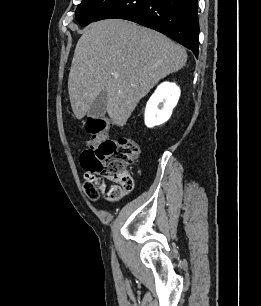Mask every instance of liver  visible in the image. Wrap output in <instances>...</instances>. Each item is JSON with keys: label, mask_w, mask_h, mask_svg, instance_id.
<instances>
[{"label": "liver", "mask_w": 261, "mask_h": 306, "mask_svg": "<svg viewBox=\"0 0 261 306\" xmlns=\"http://www.w3.org/2000/svg\"><path fill=\"white\" fill-rule=\"evenodd\" d=\"M186 61V50L157 31L122 19L92 23L78 40L68 78L74 115L82 119L105 90L106 111L123 126L154 85Z\"/></svg>", "instance_id": "6515ba94"}]
</instances>
